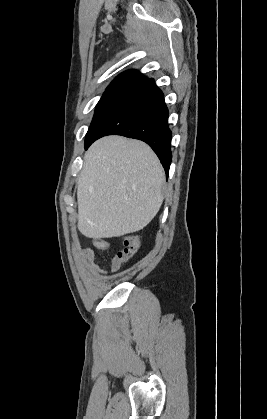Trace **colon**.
<instances>
[{
    "label": "colon",
    "instance_id": "colon-1",
    "mask_svg": "<svg viewBox=\"0 0 267 419\" xmlns=\"http://www.w3.org/2000/svg\"><path fill=\"white\" fill-rule=\"evenodd\" d=\"M140 245L139 237L136 234H127L123 239V248L116 253V258L120 264L131 258L138 250Z\"/></svg>",
    "mask_w": 267,
    "mask_h": 419
}]
</instances>
